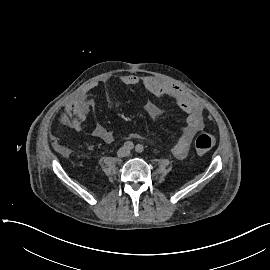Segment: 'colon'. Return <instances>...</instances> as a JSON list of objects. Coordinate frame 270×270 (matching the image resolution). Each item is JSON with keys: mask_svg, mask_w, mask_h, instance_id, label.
Listing matches in <instances>:
<instances>
[{"mask_svg": "<svg viewBox=\"0 0 270 270\" xmlns=\"http://www.w3.org/2000/svg\"><path fill=\"white\" fill-rule=\"evenodd\" d=\"M215 140L210 134H200L195 138V147L200 154L209 152L214 146Z\"/></svg>", "mask_w": 270, "mask_h": 270, "instance_id": "colon-1", "label": "colon"}]
</instances>
